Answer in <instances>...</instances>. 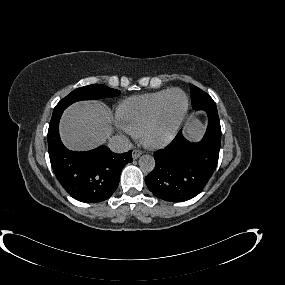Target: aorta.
Returning a JSON list of instances; mask_svg holds the SVG:
<instances>
[{
	"instance_id": "obj_1",
	"label": "aorta",
	"mask_w": 285,
	"mask_h": 285,
	"mask_svg": "<svg viewBox=\"0 0 285 285\" xmlns=\"http://www.w3.org/2000/svg\"><path fill=\"white\" fill-rule=\"evenodd\" d=\"M139 166L143 172L149 173L155 168V159L153 156L146 154L139 158Z\"/></svg>"
}]
</instances>
